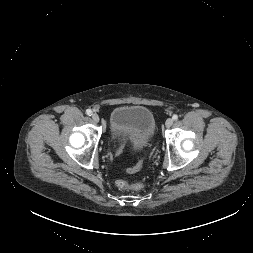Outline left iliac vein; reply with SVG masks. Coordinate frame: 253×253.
Listing matches in <instances>:
<instances>
[{
  "instance_id": "obj_1",
  "label": "left iliac vein",
  "mask_w": 253,
  "mask_h": 253,
  "mask_svg": "<svg viewBox=\"0 0 253 253\" xmlns=\"http://www.w3.org/2000/svg\"><path fill=\"white\" fill-rule=\"evenodd\" d=\"M173 125V119L169 118L165 122L166 128H170Z\"/></svg>"
}]
</instances>
